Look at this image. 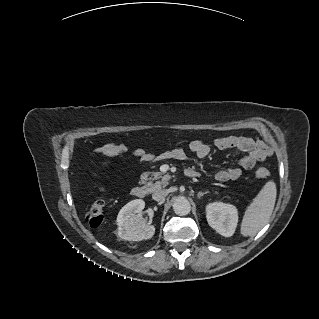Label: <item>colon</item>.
Here are the masks:
<instances>
[{"label": "colon", "instance_id": "obj_1", "mask_svg": "<svg viewBox=\"0 0 319 319\" xmlns=\"http://www.w3.org/2000/svg\"><path fill=\"white\" fill-rule=\"evenodd\" d=\"M269 170L265 167H260L256 170L255 175L258 178H267L269 176ZM87 219L92 227H98L102 224L104 219V202L102 200L94 201L87 211Z\"/></svg>", "mask_w": 319, "mask_h": 319}]
</instances>
